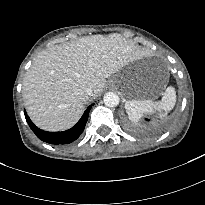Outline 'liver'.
Wrapping results in <instances>:
<instances>
[{
  "instance_id": "obj_1",
  "label": "liver",
  "mask_w": 205,
  "mask_h": 205,
  "mask_svg": "<svg viewBox=\"0 0 205 205\" xmlns=\"http://www.w3.org/2000/svg\"><path fill=\"white\" fill-rule=\"evenodd\" d=\"M143 56L133 41L120 34L81 37L39 53L22 87L32 121L48 131L71 128L91 97H97L106 78ZM92 88L91 96L85 93Z\"/></svg>"
}]
</instances>
